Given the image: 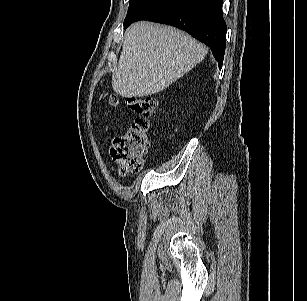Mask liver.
<instances>
[{
	"label": "liver",
	"mask_w": 307,
	"mask_h": 301,
	"mask_svg": "<svg viewBox=\"0 0 307 301\" xmlns=\"http://www.w3.org/2000/svg\"><path fill=\"white\" fill-rule=\"evenodd\" d=\"M208 49L170 26L135 23L128 30L112 74L113 90L123 97L156 94L201 62Z\"/></svg>",
	"instance_id": "6515ba94"
}]
</instances>
